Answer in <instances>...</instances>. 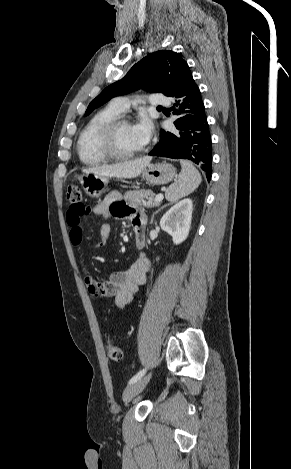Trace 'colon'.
<instances>
[{"label": "colon", "mask_w": 291, "mask_h": 469, "mask_svg": "<svg viewBox=\"0 0 291 469\" xmlns=\"http://www.w3.org/2000/svg\"><path fill=\"white\" fill-rule=\"evenodd\" d=\"M67 200L79 214L86 216L89 214L90 209L82 204V192L78 185L72 184L67 189ZM106 351L108 357L113 361H121L123 358V352L120 347L115 345L113 342L108 341L106 345Z\"/></svg>", "instance_id": "obj_1"}]
</instances>
